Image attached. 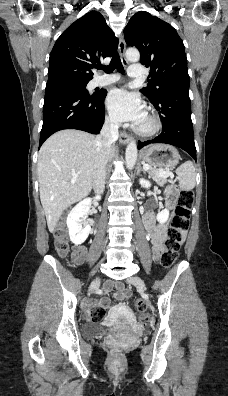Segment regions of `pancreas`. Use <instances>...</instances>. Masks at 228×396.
Masks as SVG:
<instances>
[{"mask_svg": "<svg viewBox=\"0 0 228 396\" xmlns=\"http://www.w3.org/2000/svg\"><path fill=\"white\" fill-rule=\"evenodd\" d=\"M148 174H149V177H152L153 180L160 186H163L168 181L167 176L160 175V169H158V168L150 166V169L148 170Z\"/></svg>", "mask_w": 228, "mask_h": 396, "instance_id": "1", "label": "pancreas"}]
</instances>
